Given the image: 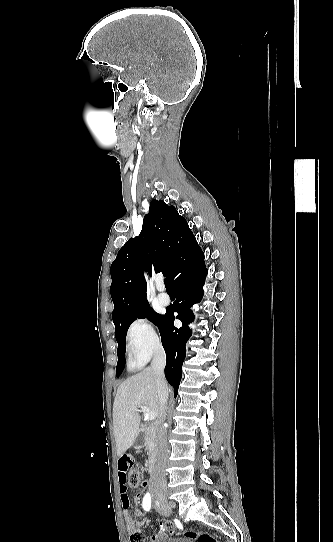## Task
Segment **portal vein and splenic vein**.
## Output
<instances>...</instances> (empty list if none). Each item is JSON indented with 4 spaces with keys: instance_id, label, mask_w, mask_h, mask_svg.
Masks as SVG:
<instances>
[{
    "instance_id": "1",
    "label": "portal vein and splenic vein",
    "mask_w": 333,
    "mask_h": 542,
    "mask_svg": "<svg viewBox=\"0 0 333 542\" xmlns=\"http://www.w3.org/2000/svg\"><path fill=\"white\" fill-rule=\"evenodd\" d=\"M138 408H140L139 412H143L145 420H155L156 414L150 408H146V406H138Z\"/></svg>"
}]
</instances>
